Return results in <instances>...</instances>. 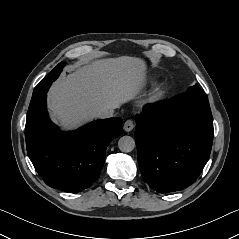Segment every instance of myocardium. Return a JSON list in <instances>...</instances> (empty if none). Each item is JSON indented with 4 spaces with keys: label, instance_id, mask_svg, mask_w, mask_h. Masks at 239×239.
Here are the masks:
<instances>
[{
    "label": "myocardium",
    "instance_id": "1",
    "mask_svg": "<svg viewBox=\"0 0 239 239\" xmlns=\"http://www.w3.org/2000/svg\"><path fill=\"white\" fill-rule=\"evenodd\" d=\"M166 93H167L166 86L162 83H159L151 91L148 97V102L150 104H157L165 98Z\"/></svg>",
    "mask_w": 239,
    "mask_h": 239
}]
</instances>
